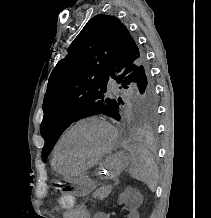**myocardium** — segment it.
<instances>
[{
    "label": "myocardium",
    "mask_w": 211,
    "mask_h": 218,
    "mask_svg": "<svg viewBox=\"0 0 211 218\" xmlns=\"http://www.w3.org/2000/svg\"><path fill=\"white\" fill-rule=\"evenodd\" d=\"M90 122H98L103 124L110 132L111 134V141L109 143V145L106 147V149L104 151H102L100 154H98L92 161L85 163V164H79L76 167L78 169H86L89 168L95 164H97L100 160H102L104 157H106L107 155H109L115 148L116 144H117V140H118V134L116 129L113 127L112 124H110L105 118L100 117V116H88V117H84L79 119L78 121H76L75 123H73L59 138L56 146H55V150H54V159L57 160L59 162V150L60 147L64 141V139L67 137L68 134H70L73 130H75L76 128H78L79 126L86 124V123H90Z\"/></svg>",
    "instance_id": "myocardium-1"
}]
</instances>
